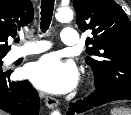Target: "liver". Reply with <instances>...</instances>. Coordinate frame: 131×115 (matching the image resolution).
<instances>
[{
    "label": "liver",
    "instance_id": "obj_1",
    "mask_svg": "<svg viewBox=\"0 0 131 115\" xmlns=\"http://www.w3.org/2000/svg\"><path fill=\"white\" fill-rule=\"evenodd\" d=\"M0 115H5L2 111H0Z\"/></svg>",
    "mask_w": 131,
    "mask_h": 115
}]
</instances>
